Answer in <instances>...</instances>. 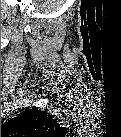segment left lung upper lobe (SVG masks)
Segmentation results:
<instances>
[{"label":"left lung upper lobe","mask_w":121,"mask_h":137,"mask_svg":"<svg viewBox=\"0 0 121 137\" xmlns=\"http://www.w3.org/2000/svg\"><path fill=\"white\" fill-rule=\"evenodd\" d=\"M58 124L45 111L28 109L1 126V135H26L54 133Z\"/></svg>","instance_id":"5c2ea615"}]
</instances>
